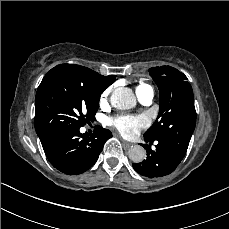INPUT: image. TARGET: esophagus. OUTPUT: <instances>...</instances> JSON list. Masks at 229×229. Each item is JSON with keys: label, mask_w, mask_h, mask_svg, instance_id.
Wrapping results in <instances>:
<instances>
[{"label": "esophagus", "mask_w": 229, "mask_h": 229, "mask_svg": "<svg viewBox=\"0 0 229 229\" xmlns=\"http://www.w3.org/2000/svg\"><path fill=\"white\" fill-rule=\"evenodd\" d=\"M122 143H123V146L125 148H131L133 146V143L132 142H129V141H126V140H122Z\"/></svg>", "instance_id": "obj_1"}]
</instances>
